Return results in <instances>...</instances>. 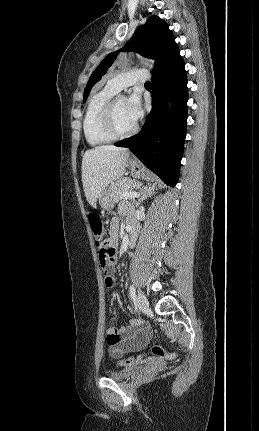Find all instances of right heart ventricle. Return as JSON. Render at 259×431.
<instances>
[{
  "label": "right heart ventricle",
  "mask_w": 259,
  "mask_h": 431,
  "mask_svg": "<svg viewBox=\"0 0 259 431\" xmlns=\"http://www.w3.org/2000/svg\"><path fill=\"white\" fill-rule=\"evenodd\" d=\"M114 90L105 86L94 93L86 106L83 117V132L86 142L93 147L106 145L115 140L110 136L102 124V111L106 103L116 94Z\"/></svg>",
  "instance_id": "1"
}]
</instances>
